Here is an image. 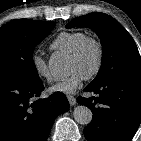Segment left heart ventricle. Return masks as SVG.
Instances as JSON below:
<instances>
[{
    "label": "left heart ventricle",
    "instance_id": "left-heart-ventricle-1",
    "mask_svg": "<svg viewBox=\"0 0 141 141\" xmlns=\"http://www.w3.org/2000/svg\"><path fill=\"white\" fill-rule=\"evenodd\" d=\"M97 62V51L93 45L87 46L83 54L77 58H69L68 70L69 72L78 71L84 77L88 75L95 67Z\"/></svg>",
    "mask_w": 141,
    "mask_h": 141
}]
</instances>
